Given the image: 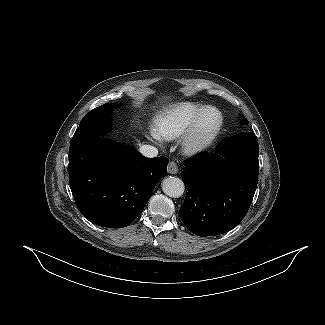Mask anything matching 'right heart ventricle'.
<instances>
[{"label": "right heart ventricle", "instance_id": "right-heart-ventricle-1", "mask_svg": "<svg viewBox=\"0 0 325 325\" xmlns=\"http://www.w3.org/2000/svg\"><path fill=\"white\" fill-rule=\"evenodd\" d=\"M207 107L196 102H181L163 111L154 122V131L161 138L171 140L181 134L193 122L199 112Z\"/></svg>", "mask_w": 325, "mask_h": 325}]
</instances>
